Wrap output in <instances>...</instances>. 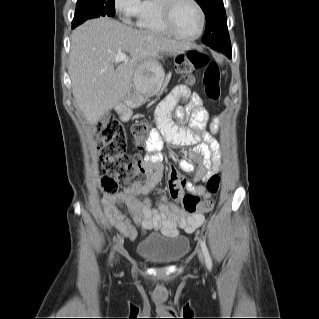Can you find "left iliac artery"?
Wrapping results in <instances>:
<instances>
[{
    "instance_id": "left-iliac-artery-1",
    "label": "left iliac artery",
    "mask_w": 319,
    "mask_h": 319,
    "mask_svg": "<svg viewBox=\"0 0 319 319\" xmlns=\"http://www.w3.org/2000/svg\"><path fill=\"white\" fill-rule=\"evenodd\" d=\"M200 244H201L202 252H203L204 257H205L206 265H207L208 269L211 270L212 260H211L209 251L207 249V246H206L205 242L202 240L200 241Z\"/></svg>"
}]
</instances>
